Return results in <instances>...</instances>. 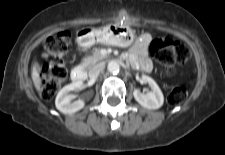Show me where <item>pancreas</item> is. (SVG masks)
<instances>
[{"label": "pancreas", "mask_w": 225, "mask_h": 155, "mask_svg": "<svg viewBox=\"0 0 225 155\" xmlns=\"http://www.w3.org/2000/svg\"><path fill=\"white\" fill-rule=\"evenodd\" d=\"M106 57L107 56H104L101 54L99 48H96L95 51L93 52L92 56H89V57H86L83 59L82 66L90 67V66L96 64L97 62L104 60Z\"/></svg>", "instance_id": "cf45deb5"}]
</instances>
